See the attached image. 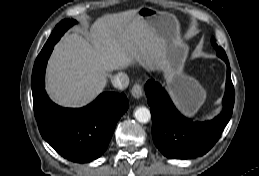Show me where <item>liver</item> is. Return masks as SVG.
I'll return each instance as SVG.
<instances>
[{
    "label": "liver",
    "instance_id": "obj_1",
    "mask_svg": "<svg viewBox=\"0 0 259 176\" xmlns=\"http://www.w3.org/2000/svg\"><path fill=\"white\" fill-rule=\"evenodd\" d=\"M159 36L137 10L107 14L90 27L88 37L66 35L49 59L46 84L50 97L67 107H82L101 93L113 70L139 64L162 67Z\"/></svg>",
    "mask_w": 259,
    "mask_h": 176
}]
</instances>
